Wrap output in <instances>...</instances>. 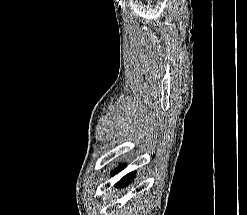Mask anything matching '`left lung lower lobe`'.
<instances>
[{"label": "left lung lower lobe", "instance_id": "1", "mask_svg": "<svg viewBox=\"0 0 247 215\" xmlns=\"http://www.w3.org/2000/svg\"><path fill=\"white\" fill-rule=\"evenodd\" d=\"M124 168V166H121L117 169L118 171H121ZM134 176L133 173H129L128 175H126L125 177H123L118 183L117 186L119 187H123L124 185H127V183L130 182L131 178Z\"/></svg>", "mask_w": 247, "mask_h": 215}]
</instances>
